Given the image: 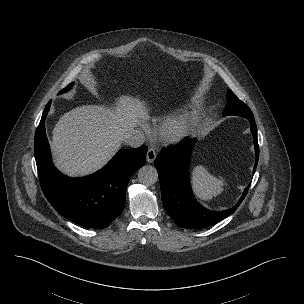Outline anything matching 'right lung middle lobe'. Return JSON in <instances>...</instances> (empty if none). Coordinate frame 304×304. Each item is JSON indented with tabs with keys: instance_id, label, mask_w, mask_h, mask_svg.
I'll return each instance as SVG.
<instances>
[{
	"instance_id": "1",
	"label": "right lung middle lobe",
	"mask_w": 304,
	"mask_h": 304,
	"mask_svg": "<svg viewBox=\"0 0 304 304\" xmlns=\"http://www.w3.org/2000/svg\"><path fill=\"white\" fill-rule=\"evenodd\" d=\"M72 86H73V84H70L68 87H66L65 89H63V90L60 91L59 93L67 92L69 89H71Z\"/></svg>"
}]
</instances>
